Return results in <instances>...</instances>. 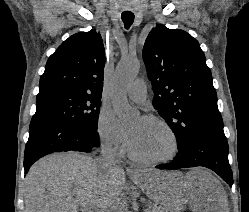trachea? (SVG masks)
<instances>
[{
    "instance_id": "obj_1",
    "label": "trachea",
    "mask_w": 249,
    "mask_h": 212,
    "mask_svg": "<svg viewBox=\"0 0 249 212\" xmlns=\"http://www.w3.org/2000/svg\"><path fill=\"white\" fill-rule=\"evenodd\" d=\"M122 21L126 29L130 28L134 21V14L132 12H123Z\"/></svg>"
}]
</instances>
